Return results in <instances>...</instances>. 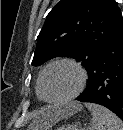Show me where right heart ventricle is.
<instances>
[{"label":"right heart ventricle","instance_id":"right-heart-ventricle-1","mask_svg":"<svg viewBox=\"0 0 123 130\" xmlns=\"http://www.w3.org/2000/svg\"><path fill=\"white\" fill-rule=\"evenodd\" d=\"M38 79H39V77H38ZM38 79H37V86H36L37 93H38ZM38 95H39V93H38Z\"/></svg>","mask_w":123,"mask_h":130}]
</instances>
